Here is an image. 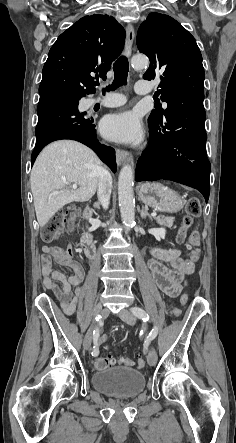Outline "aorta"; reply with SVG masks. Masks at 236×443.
<instances>
[{
  "label": "aorta",
  "instance_id": "1",
  "mask_svg": "<svg viewBox=\"0 0 236 443\" xmlns=\"http://www.w3.org/2000/svg\"><path fill=\"white\" fill-rule=\"evenodd\" d=\"M135 69H141L148 65V58L144 55H136L131 59ZM134 168L133 162L125 164L120 170L118 180V199L120 214L126 229L135 222V199L133 191Z\"/></svg>",
  "mask_w": 236,
  "mask_h": 443
}]
</instances>
